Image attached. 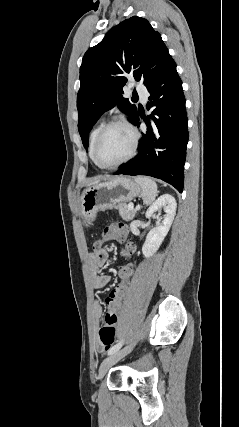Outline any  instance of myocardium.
Here are the masks:
<instances>
[{"label": "myocardium", "mask_w": 239, "mask_h": 427, "mask_svg": "<svg viewBox=\"0 0 239 427\" xmlns=\"http://www.w3.org/2000/svg\"><path fill=\"white\" fill-rule=\"evenodd\" d=\"M115 126H122V127L126 128L132 134L133 142H132L131 150L125 158H123L122 160H120L119 162H117L115 164L108 165V164L102 163L99 160V158H98V147H99L100 142H101L103 136L105 135V133ZM139 139H140L139 132L128 120H126L125 118H121V117L114 118L111 121L104 124L103 127L98 132L97 137H96L95 142H94V145H93V149H92L93 160L96 163V165L102 169L111 170V169L118 168V167L126 164L127 162H129L132 158H134V156L137 153L138 146H139Z\"/></svg>", "instance_id": "1"}]
</instances>
